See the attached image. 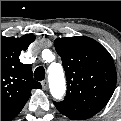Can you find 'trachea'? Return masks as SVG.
<instances>
[{
	"instance_id": "1",
	"label": "trachea",
	"mask_w": 121,
	"mask_h": 121,
	"mask_svg": "<svg viewBox=\"0 0 121 121\" xmlns=\"http://www.w3.org/2000/svg\"><path fill=\"white\" fill-rule=\"evenodd\" d=\"M35 80L42 81L45 78V69L41 66L37 67L34 71Z\"/></svg>"
}]
</instances>
